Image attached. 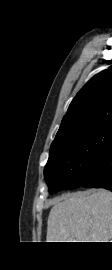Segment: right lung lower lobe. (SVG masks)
I'll use <instances>...</instances> for the list:
<instances>
[{"mask_svg":"<svg viewBox=\"0 0 112 270\" xmlns=\"http://www.w3.org/2000/svg\"><path fill=\"white\" fill-rule=\"evenodd\" d=\"M81 185L112 191V144L90 164Z\"/></svg>","mask_w":112,"mask_h":270,"instance_id":"98d812e1","label":"right lung lower lobe"}]
</instances>
